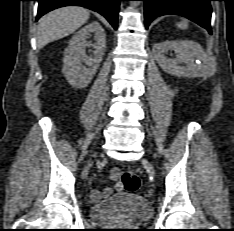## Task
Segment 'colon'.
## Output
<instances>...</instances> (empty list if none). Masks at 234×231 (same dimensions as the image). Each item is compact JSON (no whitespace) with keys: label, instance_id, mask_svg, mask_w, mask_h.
Returning <instances> with one entry per match:
<instances>
[{"label":"colon","instance_id":"5ec220e1","mask_svg":"<svg viewBox=\"0 0 234 231\" xmlns=\"http://www.w3.org/2000/svg\"><path fill=\"white\" fill-rule=\"evenodd\" d=\"M110 177L114 180L120 179L124 189L128 192H136L140 188V178L134 171L120 172L118 169H113Z\"/></svg>","mask_w":234,"mask_h":231}]
</instances>
